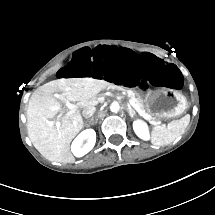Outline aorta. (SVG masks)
Segmentation results:
<instances>
[{"instance_id":"762f6f07","label":"aorta","mask_w":215,"mask_h":215,"mask_svg":"<svg viewBox=\"0 0 215 215\" xmlns=\"http://www.w3.org/2000/svg\"><path fill=\"white\" fill-rule=\"evenodd\" d=\"M119 110H120V105H119L118 102H113V103L110 105V111H111V112L117 113Z\"/></svg>"}]
</instances>
